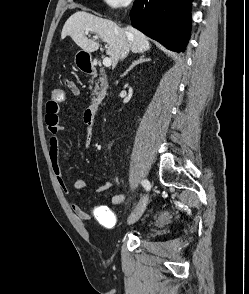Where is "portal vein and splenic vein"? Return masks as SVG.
<instances>
[{"instance_id": "obj_1", "label": "portal vein and splenic vein", "mask_w": 249, "mask_h": 294, "mask_svg": "<svg viewBox=\"0 0 249 294\" xmlns=\"http://www.w3.org/2000/svg\"><path fill=\"white\" fill-rule=\"evenodd\" d=\"M86 34H88V32H86ZM93 38H94V39H98V36H93ZM111 64H112V60H111V58H109V57H105V58L103 59V65H104L105 67H110Z\"/></svg>"}]
</instances>
